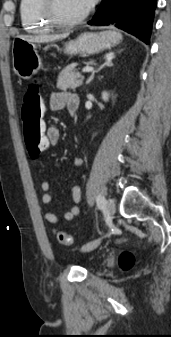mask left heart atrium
I'll list each match as a JSON object with an SVG mask.
<instances>
[{"label": "left heart atrium", "instance_id": "1", "mask_svg": "<svg viewBox=\"0 0 171 337\" xmlns=\"http://www.w3.org/2000/svg\"><path fill=\"white\" fill-rule=\"evenodd\" d=\"M97 0H82L84 6L88 9L92 7Z\"/></svg>", "mask_w": 171, "mask_h": 337}]
</instances>
